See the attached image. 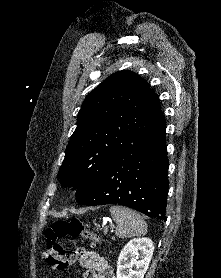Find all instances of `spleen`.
<instances>
[{"label":"spleen","instance_id":"obj_1","mask_svg":"<svg viewBox=\"0 0 221 278\" xmlns=\"http://www.w3.org/2000/svg\"><path fill=\"white\" fill-rule=\"evenodd\" d=\"M109 211L117 223L115 230L117 237L129 238L147 233V224L137 212L123 206H111Z\"/></svg>","mask_w":221,"mask_h":278}]
</instances>
